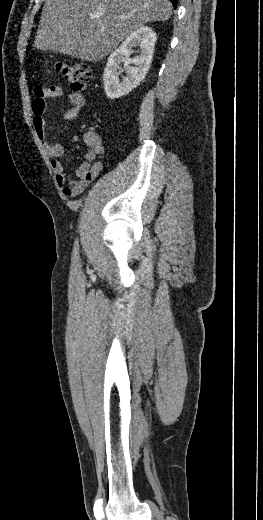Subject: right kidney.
Segmentation results:
<instances>
[{
    "label": "right kidney",
    "instance_id": "right-kidney-1",
    "mask_svg": "<svg viewBox=\"0 0 263 520\" xmlns=\"http://www.w3.org/2000/svg\"><path fill=\"white\" fill-rule=\"evenodd\" d=\"M156 33L150 27H141L131 33L109 56L104 69L105 94L110 99L120 98L130 93L145 78L153 58ZM139 46V55L130 59L132 48ZM124 63L126 75L120 81V64ZM134 64V66H131Z\"/></svg>",
    "mask_w": 263,
    "mask_h": 520
}]
</instances>
